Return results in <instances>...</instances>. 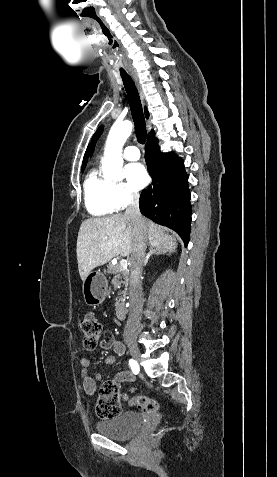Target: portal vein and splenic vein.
I'll use <instances>...</instances> for the list:
<instances>
[{
  "instance_id": "18ae733b",
  "label": "portal vein and splenic vein",
  "mask_w": 277,
  "mask_h": 477,
  "mask_svg": "<svg viewBox=\"0 0 277 477\" xmlns=\"http://www.w3.org/2000/svg\"><path fill=\"white\" fill-rule=\"evenodd\" d=\"M119 266L121 269L126 270L128 266V262L126 259H121L119 262Z\"/></svg>"
}]
</instances>
